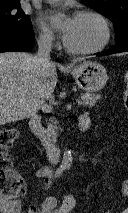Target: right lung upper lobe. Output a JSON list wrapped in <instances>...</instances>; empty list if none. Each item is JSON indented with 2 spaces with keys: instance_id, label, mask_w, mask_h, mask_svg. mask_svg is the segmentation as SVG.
Wrapping results in <instances>:
<instances>
[{
  "instance_id": "cb5924a9",
  "label": "right lung upper lobe",
  "mask_w": 128,
  "mask_h": 213,
  "mask_svg": "<svg viewBox=\"0 0 128 213\" xmlns=\"http://www.w3.org/2000/svg\"><path fill=\"white\" fill-rule=\"evenodd\" d=\"M20 4V0H0V6Z\"/></svg>"
}]
</instances>
